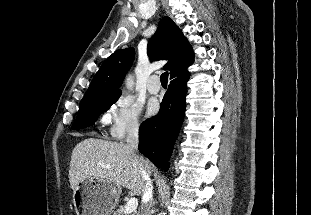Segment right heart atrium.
Returning <instances> with one entry per match:
<instances>
[{"instance_id": "d8ad5b80", "label": "right heart atrium", "mask_w": 311, "mask_h": 215, "mask_svg": "<svg viewBox=\"0 0 311 215\" xmlns=\"http://www.w3.org/2000/svg\"><path fill=\"white\" fill-rule=\"evenodd\" d=\"M141 106L129 95L119 96L102 117V124L115 140L135 137L141 129Z\"/></svg>"}]
</instances>
